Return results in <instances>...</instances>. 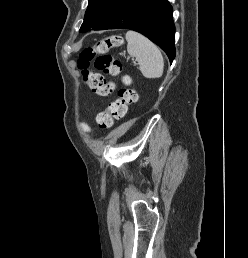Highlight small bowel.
I'll use <instances>...</instances> for the list:
<instances>
[{
  "label": "small bowel",
  "instance_id": "c3829d8e",
  "mask_svg": "<svg viewBox=\"0 0 248 258\" xmlns=\"http://www.w3.org/2000/svg\"><path fill=\"white\" fill-rule=\"evenodd\" d=\"M83 128H84V130L87 131V132H90V131H91V128H90L88 125H86V124L83 125Z\"/></svg>",
  "mask_w": 248,
  "mask_h": 258
}]
</instances>
